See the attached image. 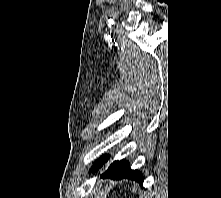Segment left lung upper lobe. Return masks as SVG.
Instances as JSON below:
<instances>
[{
    "label": "left lung upper lobe",
    "mask_w": 221,
    "mask_h": 198,
    "mask_svg": "<svg viewBox=\"0 0 221 198\" xmlns=\"http://www.w3.org/2000/svg\"><path fill=\"white\" fill-rule=\"evenodd\" d=\"M109 159V155L101 156L96 162L93 164L91 169L92 172H96L107 160Z\"/></svg>",
    "instance_id": "obj_1"
}]
</instances>
